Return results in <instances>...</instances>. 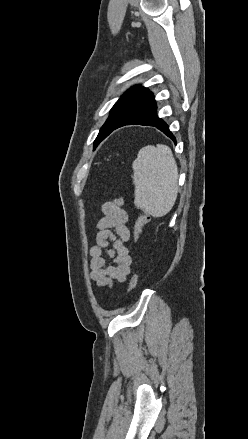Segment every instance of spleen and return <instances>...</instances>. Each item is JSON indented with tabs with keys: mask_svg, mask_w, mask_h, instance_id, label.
<instances>
[{
	"mask_svg": "<svg viewBox=\"0 0 248 439\" xmlns=\"http://www.w3.org/2000/svg\"><path fill=\"white\" fill-rule=\"evenodd\" d=\"M132 169L135 206L153 217L168 214L178 194V167L171 149L162 144L143 147Z\"/></svg>",
	"mask_w": 248,
	"mask_h": 439,
	"instance_id": "obj_1",
	"label": "spleen"
}]
</instances>
